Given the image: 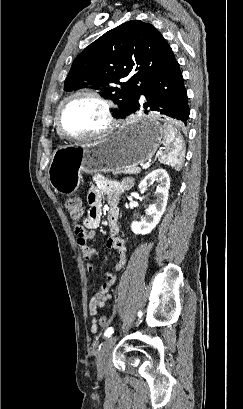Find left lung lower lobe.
Returning a JSON list of instances; mask_svg holds the SVG:
<instances>
[{
	"mask_svg": "<svg viewBox=\"0 0 243 409\" xmlns=\"http://www.w3.org/2000/svg\"><path fill=\"white\" fill-rule=\"evenodd\" d=\"M141 94L145 96V101H140ZM138 111H144L146 114L151 112L158 116L167 115L187 125L188 98L177 61L144 86L128 115Z\"/></svg>",
	"mask_w": 243,
	"mask_h": 409,
	"instance_id": "left-lung-lower-lobe-1",
	"label": "left lung lower lobe"
}]
</instances>
